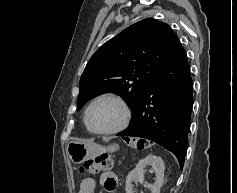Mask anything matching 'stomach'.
Here are the masks:
<instances>
[{"mask_svg": "<svg viewBox=\"0 0 237 193\" xmlns=\"http://www.w3.org/2000/svg\"><path fill=\"white\" fill-rule=\"evenodd\" d=\"M118 149V144H111L108 147H103L92 142L72 140L68 143L67 154L74 164H80L102 152H115Z\"/></svg>", "mask_w": 237, "mask_h": 193, "instance_id": "obj_1", "label": "stomach"}]
</instances>
